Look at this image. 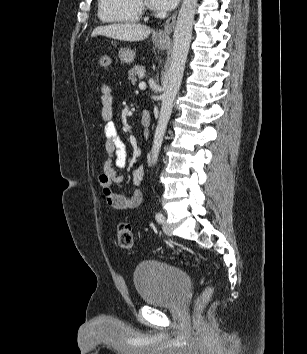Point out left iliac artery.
<instances>
[{
    "label": "left iliac artery",
    "instance_id": "left-iliac-artery-1",
    "mask_svg": "<svg viewBox=\"0 0 307 354\" xmlns=\"http://www.w3.org/2000/svg\"><path fill=\"white\" fill-rule=\"evenodd\" d=\"M155 218H156L158 223H163V221H164V216L160 212L156 213Z\"/></svg>",
    "mask_w": 307,
    "mask_h": 354
}]
</instances>
